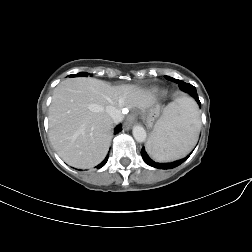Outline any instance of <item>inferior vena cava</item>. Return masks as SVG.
<instances>
[{
  "label": "inferior vena cava",
  "instance_id": "obj_1",
  "mask_svg": "<svg viewBox=\"0 0 252 252\" xmlns=\"http://www.w3.org/2000/svg\"><path fill=\"white\" fill-rule=\"evenodd\" d=\"M106 112L112 118L114 123H118V122L122 121V119H123L122 112L113 106H107Z\"/></svg>",
  "mask_w": 252,
  "mask_h": 252
}]
</instances>
